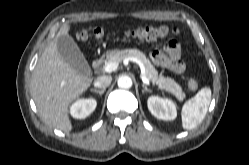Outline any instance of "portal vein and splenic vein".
Returning a JSON list of instances; mask_svg holds the SVG:
<instances>
[{
  "label": "portal vein and splenic vein",
  "instance_id": "18ae733b",
  "mask_svg": "<svg viewBox=\"0 0 249 165\" xmlns=\"http://www.w3.org/2000/svg\"><path fill=\"white\" fill-rule=\"evenodd\" d=\"M119 66V63L114 61V62H110L108 64H106L104 67H103V71L105 73H111L115 70H117ZM140 66H141V79L143 81V83L147 84V85H150V81L149 79L146 77L145 75V69H144V66L140 63Z\"/></svg>",
  "mask_w": 249,
  "mask_h": 165
}]
</instances>
